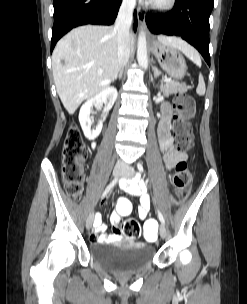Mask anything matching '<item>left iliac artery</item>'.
I'll return each instance as SVG.
<instances>
[{
  "label": "left iliac artery",
  "mask_w": 247,
  "mask_h": 304,
  "mask_svg": "<svg viewBox=\"0 0 247 304\" xmlns=\"http://www.w3.org/2000/svg\"><path fill=\"white\" fill-rule=\"evenodd\" d=\"M137 167L140 172H143V166L140 163H138ZM158 218H159L160 222L164 225L165 220H164L162 213L159 210H158Z\"/></svg>",
  "instance_id": "1"
}]
</instances>
